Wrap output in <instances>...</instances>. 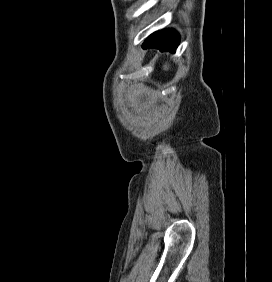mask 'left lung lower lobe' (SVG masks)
I'll list each match as a JSON object with an SVG mask.
<instances>
[{
	"label": "left lung lower lobe",
	"mask_w": 272,
	"mask_h": 282,
	"mask_svg": "<svg viewBox=\"0 0 272 282\" xmlns=\"http://www.w3.org/2000/svg\"><path fill=\"white\" fill-rule=\"evenodd\" d=\"M179 35L173 30H162L150 35L144 42L143 48H157L160 51L175 52L179 44Z\"/></svg>",
	"instance_id": "1"
}]
</instances>
